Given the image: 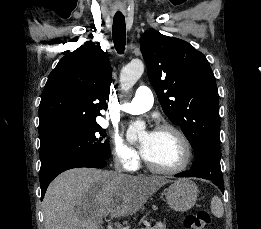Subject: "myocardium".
<instances>
[{
  "label": "myocardium",
  "instance_id": "obj_1",
  "mask_svg": "<svg viewBox=\"0 0 261 229\" xmlns=\"http://www.w3.org/2000/svg\"><path fill=\"white\" fill-rule=\"evenodd\" d=\"M155 131L156 132L167 131V132L173 133L176 136V138L179 141L180 146L182 148V158L178 165H176L174 167L164 168V167H158V166L153 165L151 162H149L146 159V157L143 154L142 158H143V161H144L146 167L151 172L158 173V174H165V175L177 174V173H180L183 170H185L191 160V147H190L189 141L186 138V136L184 135V133L180 129H178L177 127H175L171 124L158 125L155 128Z\"/></svg>",
  "mask_w": 261,
  "mask_h": 229
}]
</instances>
